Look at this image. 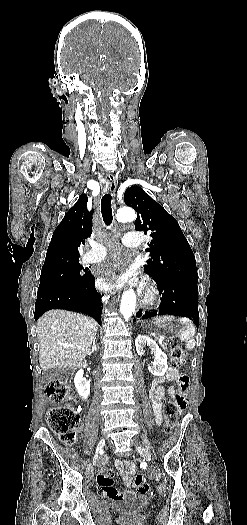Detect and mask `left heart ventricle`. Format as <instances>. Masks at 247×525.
<instances>
[{"mask_svg": "<svg viewBox=\"0 0 247 525\" xmlns=\"http://www.w3.org/2000/svg\"><path fill=\"white\" fill-rule=\"evenodd\" d=\"M135 265H136L135 262L128 263V264L126 265V269H127V270L134 269V268H135Z\"/></svg>", "mask_w": 247, "mask_h": 525, "instance_id": "obj_1", "label": "left heart ventricle"}]
</instances>
